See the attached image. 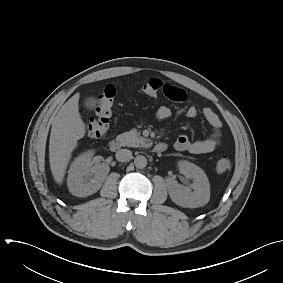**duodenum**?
<instances>
[{"label":"duodenum","mask_w":283,"mask_h":283,"mask_svg":"<svg viewBox=\"0 0 283 283\" xmlns=\"http://www.w3.org/2000/svg\"><path fill=\"white\" fill-rule=\"evenodd\" d=\"M121 141L119 139H112L110 142H109V148L111 151H117L121 148ZM167 149V145L163 142H159V143H156L154 145V151L155 152H158V153H161V152H164L165 150Z\"/></svg>","instance_id":"410a0bca"}]
</instances>
